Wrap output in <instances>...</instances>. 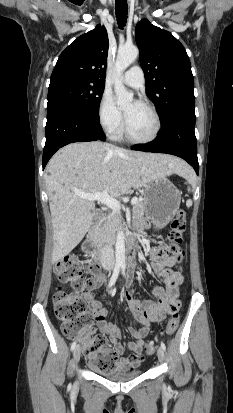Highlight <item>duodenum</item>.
<instances>
[{"instance_id": "obj_1", "label": "duodenum", "mask_w": 233, "mask_h": 413, "mask_svg": "<svg viewBox=\"0 0 233 413\" xmlns=\"http://www.w3.org/2000/svg\"><path fill=\"white\" fill-rule=\"evenodd\" d=\"M93 229L89 230L87 233V237L82 243V250L94 260L100 261L103 256V249L99 247L94 240L92 239ZM126 245L131 250V256L129 258L128 264L131 269L135 267V246L136 240L134 237L130 236L126 239Z\"/></svg>"}]
</instances>
